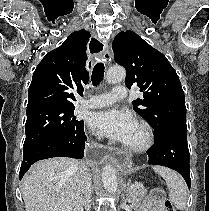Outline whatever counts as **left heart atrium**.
Instances as JSON below:
<instances>
[{"label": "left heart atrium", "mask_w": 209, "mask_h": 211, "mask_svg": "<svg viewBox=\"0 0 209 211\" xmlns=\"http://www.w3.org/2000/svg\"><path fill=\"white\" fill-rule=\"evenodd\" d=\"M88 124L94 132L122 143L130 138L136 126L135 119L129 112L115 109L93 113Z\"/></svg>", "instance_id": "obj_1"}]
</instances>
